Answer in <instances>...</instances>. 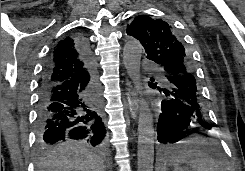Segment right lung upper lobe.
I'll return each instance as SVG.
<instances>
[{
    "mask_svg": "<svg viewBox=\"0 0 245 171\" xmlns=\"http://www.w3.org/2000/svg\"><path fill=\"white\" fill-rule=\"evenodd\" d=\"M78 37H66L53 48L49 60L52 65L48 82H62L89 74V67L78 49Z\"/></svg>",
    "mask_w": 245,
    "mask_h": 171,
    "instance_id": "cb5924a9",
    "label": "right lung upper lobe"
}]
</instances>
